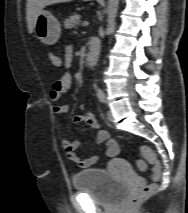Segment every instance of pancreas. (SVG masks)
<instances>
[{
    "label": "pancreas",
    "instance_id": "obj_1",
    "mask_svg": "<svg viewBox=\"0 0 188 213\" xmlns=\"http://www.w3.org/2000/svg\"><path fill=\"white\" fill-rule=\"evenodd\" d=\"M80 23V15L78 13L71 14L64 21V27L66 29L76 28Z\"/></svg>",
    "mask_w": 188,
    "mask_h": 213
}]
</instances>
